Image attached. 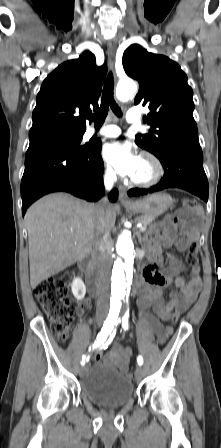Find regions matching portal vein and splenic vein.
Listing matches in <instances>:
<instances>
[{
  "instance_id": "18ae733b",
  "label": "portal vein and splenic vein",
  "mask_w": 221,
  "mask_h": 448,
  "mask_svg": "<svg viewBox=\"0 0 221 448\" xmlns=\"http://www.w3.org/2000/svg\"><path fill=\"white\" fill-rule=\"evenodd\" d=\"M137 227H138L141 231H145V230H146V226H144V225L141 224V223L137 224Z\"/></svg>"
}]
</instances>
